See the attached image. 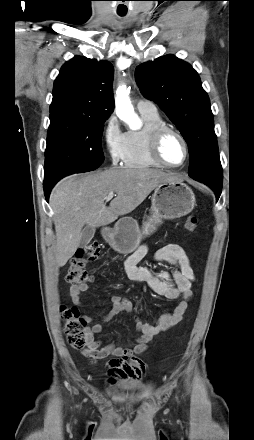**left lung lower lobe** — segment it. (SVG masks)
Wrapping results in <instances>:
<instances>
[{
    "label": "left lung lower lobe",
    "mask_w": 254,
    "mask_h": 440,
    "mask_svg": "<svg viewBox=\"0 0 254 440\" xmlns=\"http://www.w3.org/2000/svg\"><path fill=\"white\" fill-rule=\"evenodd\" d=\"M220 194H221V193H219V194L216 195V196H217V199L219 198Z\"/></svg>",
    "instance_id": "1"
}]
</instances>
